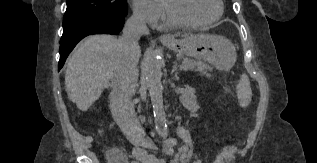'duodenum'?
I'll return each mask as SVG.
<instances>
[{"instance_id": "1", "label": "duodenum", "mask_w": 317, "mask_h": 163, "mask_svg": "<svg viewBox=\"0 0 317 163\" xmlns=\"http://www.w3.org/2000/svg\"><path fill=\"white\" fill-rule=\"evenodd\" d=\"M142 145L153 146L154 143H153L152 140H148V141H144V142L142 143ZM136 148H139V145H137L134 149H136ZM109 152H110L111 155L117 156V155L119 154L120 150H119L118 148H116V147H113V148H111V149L109 150Z\"/></svg>"}]
</instances>
